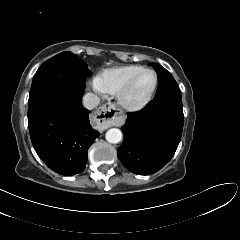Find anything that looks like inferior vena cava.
<instances>
[{"mask_svg": "<svg viewBox=\"0 0 240 240\" xmlns=\"http://www.w3.org/2000/svg\"><path fill=\"white\" fill-rule=\"evenodd\" d=\"M100 103V98L93 94V93H87L83 97V106L86 109L92 110L96 108Z\"/></svg>", "mask_w": 240, "mask_h": 240, "instance_id": "602c4592", "label": "inferior vena cava"}]
</instances>
